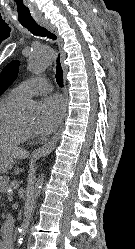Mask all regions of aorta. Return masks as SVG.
<instances>
[{"instance_id":"762f6f07","label":"aorta","mask_w":135,"mask_h":249,"mask_svg":"<svg viewBox=\"0 0 135 249\" xmlns=\"http://www.w3.org/2000/svg\"><path fill=\"white\" fill-rule=\"evenodd\" d=\"M53 55V50L47 46L40 45L35 47L28 59V70L32 74L36 75L43 73L52 64ZM43 182L44 176L43 174H41L34 185L29 189L28 198L32 203H35L40 196ZM31 213L32 209L27 211L26 219L23 221L20 227L17 249H19L21 244L23 243V236L29 226Z\"/></svg>"}]
</instances>
